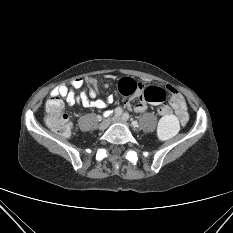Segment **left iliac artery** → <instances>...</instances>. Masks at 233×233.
<instances>
[{
  "instance_id": "1",
  "label": "left iliac artery",
  "mask_w": 233,
  "mask_h": 233,
  "mask_svg": "<svg viewBox=\"0 0 233 233\" xmlns=\"http://www.w3.org/2000/svg\"><path fill=\"white\" fill-rule=\"evenodd\" d=\"M122 118L124 119V120H128L129 119V114L127 113V112H125L123 115H122Z\"/></svg>"
}]
</instances>
